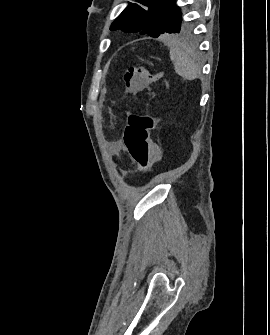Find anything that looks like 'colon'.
<instances>
[{
    "label": "colon",
    "instance_id": "obj_1",
    "mask_svg": "<svg viewBox=\"0 0 270 335\" xmlns=\"http://www.w3.org/2000/svg\"><path fill=\"white\" fill-rule=\"evenodd\" d=\"M126 89L133 93L143 92L153 81L149 70L140 66L130 67L124 73ZM166 78H171V73H166ZM159 109H169V98L158 103ZM161 112H154L153 116L145 112H132L128 116L127 124L123 131V141L130 157L136 162L142 171L151 168L154 163H162V149L156 148L157 142L150 141V131L156 127V119H161Z\"/></svg>",
    "mask_w": 270,
    "mask_h": 335
}]
</instances>
